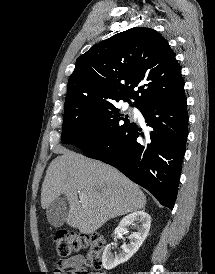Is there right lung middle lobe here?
<instances>
[{
	"label": "right lung middle lobe",
	"mask_w": 215,
	"mask_h": 274,
	"mask_svg": "<svg viewBox=\"0 0 215 274\" xmlns=\"http://www.w3.org/2000/svg\"><path fill=\"white\" fill-rule=\"evenodd\" d=\"M127 118L115 102L66 103L61 142L86 151L128 128L132 122ZM93 119H97L96 125Z\"/></svg>",
	"instance_id": "obj_1"
}]
</instances>
